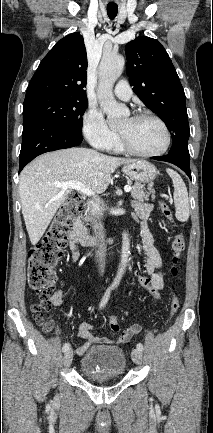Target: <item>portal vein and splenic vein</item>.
<instances>
[{
	"label": "portal vein and splenic vein",
	"instance_id": "18ae733b",
	"mask_svg": "<svg viewBox=\"0 0 213 433\" xmlns=\"http://www.w3.org/2000/svg\"><path fill=\"white\" fill-rule=\"evenodd\" d=\"M55 185L59 188H62L63 190L73 189V190H77V191H79V192H81L87 196H95V192L93 190H91L90 188L85 186L83 183L78 182V181H68V182H64V183H56ZM131 190H132V187L129 185H126L124 187L125 192H130Z\"/></svg>",
	"mask_w": 213,
	"mask_h": 433
}]
</instances>
